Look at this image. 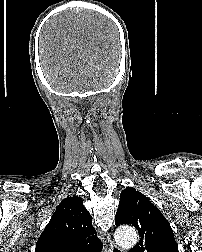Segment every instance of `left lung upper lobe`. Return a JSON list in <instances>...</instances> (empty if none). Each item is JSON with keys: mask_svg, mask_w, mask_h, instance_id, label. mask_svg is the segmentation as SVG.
<instances>
[{"mask_svg": "<svg viewBox=\"0 0 202 252\" xmlns=\"http://www.w3.org/2000/svg\"><path fill=\"white\" fill-rule=\"evenodd\" d=\"M133 225L140 240L129 252H178L169 222L146 196L135 188L121 192L115 225Z\"/></svg>", "mask_w": 202, "mask_h": 252, "instance_id": "left-lung-upper-lobe-1", "label": "left lung upper lobe"}]
</instances>
